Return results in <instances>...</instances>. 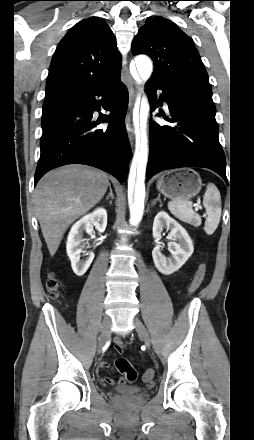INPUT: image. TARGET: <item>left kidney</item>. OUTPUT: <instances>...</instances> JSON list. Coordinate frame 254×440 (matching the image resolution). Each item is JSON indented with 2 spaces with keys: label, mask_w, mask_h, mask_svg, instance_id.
Here are the masks:
<instances>
[{
  "label": "left kidney",
  "mask_w": 254,
  "mask_h": 440,
  "mask_svg": "<svg viewBox=\"0 0 254 440\" xmlns=\"http://www.w3.org/2000/svg\"><path fill=\"white\" fill-rule=\"evenodd\" d=\"M170 230L173 242H170V257H165L156 246L152 251L154 264L158 271L164 275H170L180 269L194 251L193 243L187 231L165 211H160L154 219L153 237L159 241L163 229ZM178 241V243L176 242Z\"/></svg>",
  "instance_id": "5707ae66"
}]
</instances>
